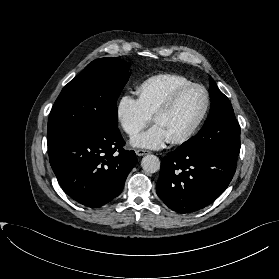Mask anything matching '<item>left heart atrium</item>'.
<instances>
[{"instance_id": "left-heart-atrium-1", "label": "left heart atrium", "mask_w": 279, "mask_h": 279, "mask_svg": "<svg viewBox=\"0 0 279 279\" xmlns=\"http://www.w3.org/2000/svg\"><path fill=\"white\" fill-rule=\"evenodd\" d=\"M169 141L168 136L159 125H154L146 132H143L131 140L135 147L160 149Z\"/></svg>"}]
</instances>
